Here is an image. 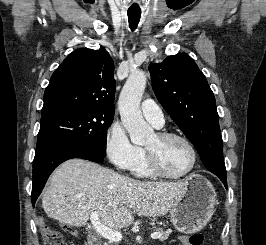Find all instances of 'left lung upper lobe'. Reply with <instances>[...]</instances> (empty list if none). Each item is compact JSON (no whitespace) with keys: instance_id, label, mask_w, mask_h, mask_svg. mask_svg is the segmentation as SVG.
<instances>
[{"instance_id":"obj_1","label":"left lung upper lobe","mask_w":266,"mask_h":245,"mask_svg":"<svg viewBox=\"0 0 266 245\" xmlns=\"http://www.w3.org/2000/svg\"><path fill=\"white\" fill-rule=\"evenodd\" d=\"M149 71L157 99L196 146L205 167L226 176L215 97L195 61L178 53L151 63Z\"/></svg>"}]
</instances>
